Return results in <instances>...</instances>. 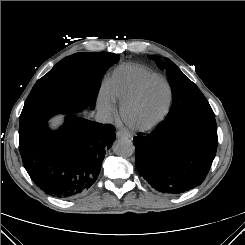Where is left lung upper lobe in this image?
Listing matches in <instances>:
<instances>
[{
	"mask_svg": "<svg viewBox=\"0 0 245 245\" xmlns=\"http://www.w3.org/2000/svg\"><path fill=\"white\" fill-rule=\"evenodd\" d=\"M150 57L156 61L160 69L166 71L172 90V107L166 118L183 111H196L214 115L211 106L199 88L170 59L167 58L165 61H162L156 56Z\"/></svg>",
	"mask_w": 245,
	"mask_h": 245,
	"instance_id": "1",
	"label": "left lung upper lobe"
}]
</instances>
